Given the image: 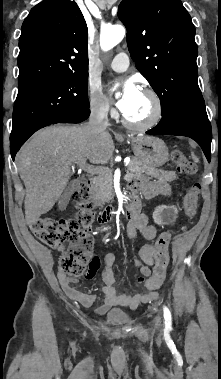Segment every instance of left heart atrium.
I'll return each mask as SVG.
<instances>
[{
	"label": "left heart atrium",
	"instance_id": "1",
	"mask_svg": "<svg viewBox=\"0 0 221 379\" xmlns=\"http://www.w3.org/2000/svg\"><path fill=\"white\" fill-rule=\"evenodd\" d=\"M117 89L120 90V97L117 100L116 104L120 111L125 114L136 104L141 95V92L132 79L116 85L112 91H115Z\"/></svg>",
	"mask_w": 221,
	"mask_h": 379
}]
</instances>
